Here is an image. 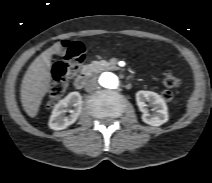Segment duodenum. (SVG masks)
<instances>
[{
  "mask_svg": "<svg viewBox=\"0 0 212 183\" xmlns=\"http://www.w3.org/2000/svg\"><path fill=\"white\" fill-rule=\"evenodd\" d=\"M89 72L88 71H84V72H82L76 79H75V82H74V85H75V87L77 88V89H82L84 86H85V84H86V82H87V80H88V78H89Z\"/></svg>",
  "mask_w": 212,
  "mask_h": 183,
  "instance_id": "410a0bca",
  "label": "duodenum"
}]
</instances>
